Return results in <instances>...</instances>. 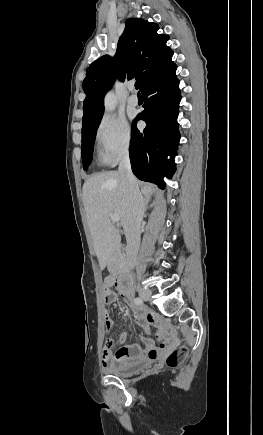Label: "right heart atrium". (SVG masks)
<instances>
[{
  "label": "right heart atrium",
  "mask_w": 263,
  "mask_h": 435,
  "mask_svg": "<svg viewBox=\"0 0 263 435\" xmlns=\"http://www.w3.org/2000/svg\"><path fill=\"white\" fill-rule=\"evenodd\" d=\"M95 141L100 160L104 164L113 165L130 150L132 142L130 126L122 117L105 115L97 127Z\"/></svg>",
  "instance_id": "d8ad5b80"
}]
</instances>
